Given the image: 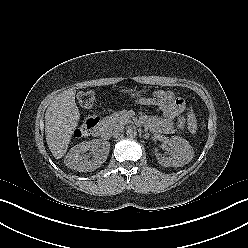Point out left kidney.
I'll list each match as a JSON object with an SVG mask.
<instances>
[{
    "label": "left kidney",
    "instance_id": "obj_1",
    "mask_svg": "<svg viewBox=\"0 0 248 248\" xmlns=\"http://www.w3.org/2000/svg\"><path fill=\"white\" fill-rule=\"evenodd\" d=\"M169 144L174 148L175 152L171 157H162L156 153L158 163L164 167H182L189 163L194 157V152L189 142L182 137L172 136Z\"/></svg>",
    "mask_w": 248,
    "mask_h": 248
}]
</instances>
